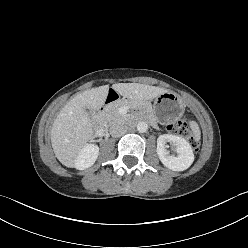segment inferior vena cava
Listing matches in <instances>:
<instances>
[{"mask_svg":"<svg viewBox=\"0 0 248 248\" xmlns=\"http://www.w3.org/2000/svg\"><path fill=\"white\" fill-rule=\"evenodd\" d=\"M126 132H127L126 126L121 124V123H114L110 127V134L113 137H120V136L124 135Z\"/></svg>","mask_w":248,"mask_h":248,"instance_id":"obj_1","label":"inferior vena cava"}]
</instances>
